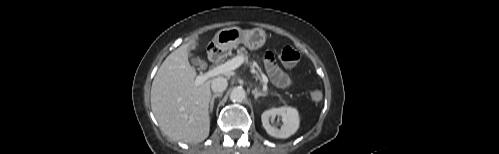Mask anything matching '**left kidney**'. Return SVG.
Masks as SVG:
<instances>
[{"mask_svg":"<svg viewBox=\"0 0 499 154\" xmlns=\"http://www.w3.org/2000/svg\"><path fill=\"white\" fill-rule=\"evenodd\" d=\"M276 116L281 117L283 123L280 129L271 125ZM261 119L267 133L275 138H288L297 131L300 122L297 109L289 106L269 109L262 114Z\"/></svg>","mask_w":499,"mask_h":154,"instance_id":"1","label":"left kidney"}]
</instances>
